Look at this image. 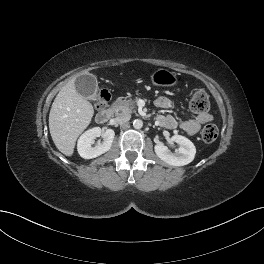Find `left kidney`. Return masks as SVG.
Segmentation results:
<instances>
[{
	"instance_id": "1",
	"label": "left kidney",
	"mask_w": 264,
	"mask_h": 264,
	"mask_svg": "<svg viewBox=\"0 0 264 264\" xmlns=\"http://www.w3.org/2000/svg\"><path fill=\"white\" fill-rule=\"evenodd\" d=\"M172 140L180 145L176 152H171L163 143L154 147L156 155L164 162L172 166H184L191 163L196 154L194 144L186 137L174 135Z\"/></svg>"
}]
</instances>
